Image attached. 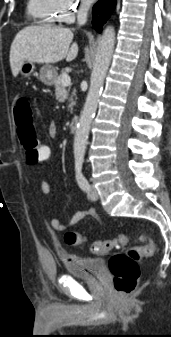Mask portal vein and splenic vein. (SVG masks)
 Wrapping results in <instances>:
<instances>
[{"label":"portal vein and splenic vein","mask_w":171,"mask_h":337,"mask_svg":"<svg viewBox=\"0 0 171 337\" xmlns=\"http://www.w3.org/2000/svg\"><path fill=\"white\" fill-rule=\"evenodd\" d=\"M70 83H71V78H70V76H69V75H65V76L62 78V84H63L64 86H68V85H70Z\"/></svg>","instance_id":"18ae733b"}]
</instances>
